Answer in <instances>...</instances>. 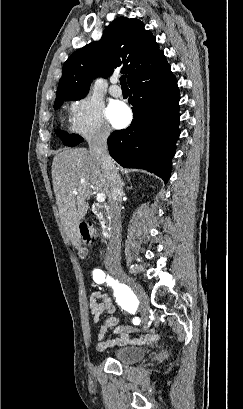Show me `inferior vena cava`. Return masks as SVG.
<instances>
[{"label": "inferior vena cava", "instance_id": "inferior-vena-cava-1", "mask_svg": "<svg viewBox=\"0 0 243 409\" xmlns=\"http://www.w3.org/2000/svg\"><path fill=\"white\" fill-rule=\"evenodd\" d=\"M109 131L102 129L88 140L89 151L102 164L109 186L108 205L111 216V237L109 240L107 264L111 268H120L121 252V203L122 182L120 175L108 153L107 138Z\"/></svg>", "mask_w": 243, "mask_h": 409}]
</instances>
